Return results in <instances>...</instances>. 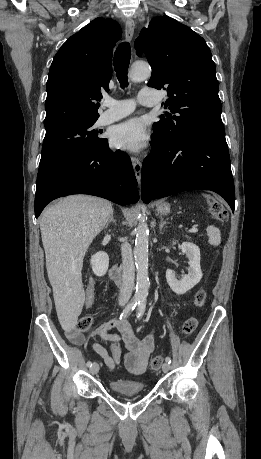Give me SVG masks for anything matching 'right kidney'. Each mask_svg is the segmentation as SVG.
<instances>
[{"instance_id": "obj_1", "label": "right kidney", "mask_w": 261, "mask_h": 459, "mask_svg": "<svg viewBox=\"0 0 261 459\" xmlns=\"http://www.w3.org/2000/svg\"><path fill=\"white\" fill-rule=\"evenodd\" d=\"M92 271L96 276L102 277L109 267V257L106 252L99 251L91 256Z\"/></svg>"}]
</instances>
